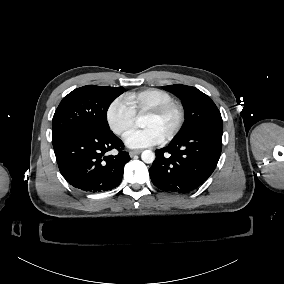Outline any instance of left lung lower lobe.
<instances>
[{
  "instance_id": "0a47b994",
  "label": "left lung lower lobe",
  "mask_w": 284,
  "mask_h": 284,
  "mask_svg": "<svg viewBox=\"0 0 284 284\" xmlns=\"http://www.w3.org/2000/svg\"><path fill=\"white\" fill-rule=\"evenodd\" d=\"M222 149V130L198 129L173 139L156 150L149 169L153 184L167 192L189 193L215 170Z\"/></svg>"
}]
</instances>
